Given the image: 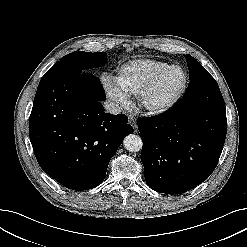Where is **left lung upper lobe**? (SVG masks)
Segmentation results:
<instances>
[{"instance_id":"left-lung-upper-lobe-1","label":"left lung upper lobe","mask_w":247,"mask_h":247,"mask_svg":"<svg viewBox=\"0 0 247 247\" xmlns=\"http://www.w3.org/2000/svg\"><path fill=\"white\" fill-rule=\"evenodd\" d=\"M186 61L189 69L190 82L201 79L202 76L210 75L208 71L194 57L186 55ZM193 93L194 92L191 90V86L189 83L184 96H193Z\"/></svg>"}]
</instances>
